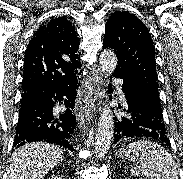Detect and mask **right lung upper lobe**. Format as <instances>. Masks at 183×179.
Masks as SVG:
<instances>
[{
	"label": "right lung upper lobe",
	"instance_id": "right-lung-upper-lobe-1",
	"mask_svg": "<svg viewBox=\"0 0 183 179\" xmlns=\"http://www.w3.org/2000/svg\"><path fill=\"white\" fill-rule=\"evenodd\" d=\"M79 38L65 18L42 25L31 39L24 58L23 91L39 84H69L81 67Z\"/></svg>",
	"mask_w": 183,
	"mask_h": 179
}]
</instances>
